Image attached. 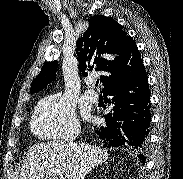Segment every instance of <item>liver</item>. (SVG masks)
Returning <instances> with one entry per match:
<instances>
[{"instance_id": "liver-1", "label": "liver", "mask_w": 183, "mask_h": 179, "mask_svg": "<svg viewBox=\"0 0 183 179\" xmlns=\"http://www.w3.org/2000/svg\"><path fill=\"white\" fill-rule=\"evenodd\" d=\"M108 156L107 151L84 143H74L70 147L60 141L35 144L26 154L20 179H47L45 172L53 168L62 170L67 179H84L92 168L105 162Z\"/></svg>"}]
</instances>
